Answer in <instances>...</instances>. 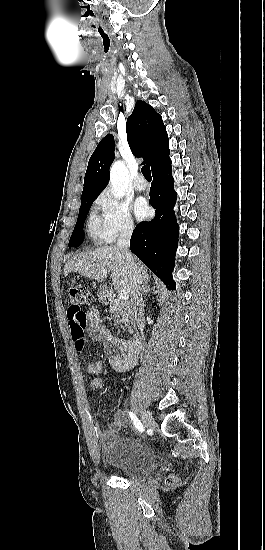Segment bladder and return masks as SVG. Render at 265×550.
Segmentation results:
<instances>
[{"instance_id":"obj_1","label":"bladder","mask_w":265,"mask_h":550,"mask_svg":"<svg viewBox=\"0 0 265 550\" xmlns=\"http://www.w3.org/2000/svg\"><path fill=\"white\" fill-rule=\"evenodd\" d=\"M101 458L127 478L146 476L157 466L154 452L133 441H119L102 448Z\"/></svg>"}]
</instances>
